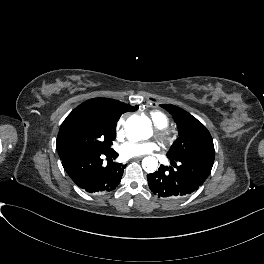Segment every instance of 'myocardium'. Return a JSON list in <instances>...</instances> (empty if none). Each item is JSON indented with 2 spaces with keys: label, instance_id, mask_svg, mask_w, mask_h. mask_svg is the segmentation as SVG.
Masks as SVG:
<instances>
[{
  "label": "myocardium",
  "instance_id": "f54148a6",
  "mask_svg": "<svg viewBox=\"0 0 264 264\" xmlns=\"http://www.w3.org/2000/svg\"><path fill=\"white\" fill-rule=\"evenodd\" d=\"M157 137H158V140L160 141L159 144H162V145L168 143L172 139L171 132L169 131L159 133Z\"/></svg>",
  "mask_w": 264,
  "mask_h": 264
}]
</instances>
